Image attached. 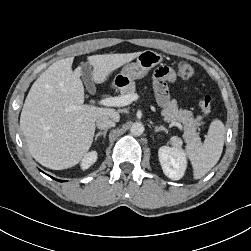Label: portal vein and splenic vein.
Segmentation results:
<instances>
[{
	"label": "portal vein and splenic vein",
	"mask_w": 251,
	"mask_h": 251,
	"mask_svg": "<svg viewBox=\"0 0 251 251\" xmlns=\"http://www.w3.org/2000/svg\"><path fill=\"white\" fill-rule=\"evenodd\" d=\"M139 95L136 93L127 94L124 96L118 97H108L98 101L99 105L107 106V107H121L131 104L133 101L138 100Z\"/></svg>",
	"instance_id": "obj_1"
}]
</instances>
